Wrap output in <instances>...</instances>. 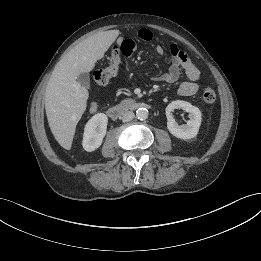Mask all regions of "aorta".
Returning a JSON list of instances; mask_svg holds the SVG:
<instances>
[{"mask_svg": "<svg viewBox=\"0 0 261 261\" xmlns=\"http://www.w3.org/2000/svg\"><path fill=\"white\" fill-rule=\"evenodd\" d=\"M136 116L139 120H145L148 118V110L146 108H138Z\"/></svg>", "mask_w": 261, "mask_h": 261, "instance_id": "obj_1", "label": "aorta"}]
</instances>
